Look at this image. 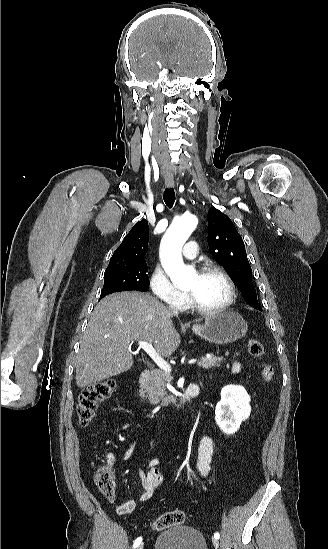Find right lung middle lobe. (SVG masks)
<instances>
[{
    "instance_id": "dd1d6c3e",
    "label": "right lung middle lobe",
    "mask_w": 328,
    "mask_h": 549,
    "mask_svg": "<svg viewBox=\"0 0 328 549\" xmlns=\"http://www.w3.org/2000/svg\"><path fill=\"white\" fill-rule=\"evenodd\" d=\"M148 269L145 261H139L120 268L106 270L100 299L104 296L127 290L146 291L149 288Z\"/></svg>"
}]
</instances>
